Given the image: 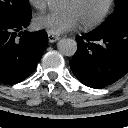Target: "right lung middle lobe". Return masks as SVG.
Wrapping results in <instances>:
<instances>
[{
  "label": "right lung middle lobe",
  "mask_w": 128,
  "mask_h": 128,
  "mask_svg": "<svg viewBox=\"0 0 128 128\" xmlns=\"http://www.w3.org/2000/svg\"><path fill=\"white\" fill-rule=\"evenodd\" d=\"M31 16L28 0H0V21L17 23Z\"/></svg>",
  "instance_id": "obj_1"
}]
</instances>
